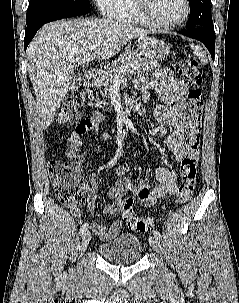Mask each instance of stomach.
<instances>
[{"label":"stomach","mask_w":239,"mask_h":303,"mask_svg":"<svg viewBox=\"0 0 239 303\" xmlns=\"http://www.w3.org/2000/svg\"><path fill=\"white\" fill-rule=\"evenodd\" d=\"M138 50L146 59L160 61L168 56L170 48L157 38L145 36L138 42Z\"/></svg>","instance_id":"obj_1"}]
</instances>
